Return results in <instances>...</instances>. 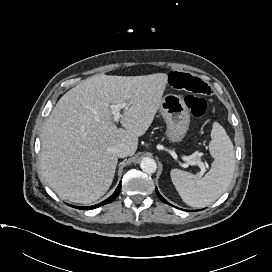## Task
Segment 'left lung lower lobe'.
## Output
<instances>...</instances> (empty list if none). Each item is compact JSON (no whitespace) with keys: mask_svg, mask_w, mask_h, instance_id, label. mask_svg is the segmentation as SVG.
<instances>
[{"mask_svg":"<svg viewBox=\"0 0 272 272\" xmlns=\"http://www.w3.org/2000/svg\"><path fill=\"white\" fill-rule=\"evenodd\" d=\"M156 192H157V195H158V197L164 202V203H167V204H169L160 194H159V192H158V190L156 189Z\"/></svg>","mask_w":272,"mask_h":272,"instance_id":"left-lung-lower-lobe-1","label":"left lung lower lobe"}]
</instances>
